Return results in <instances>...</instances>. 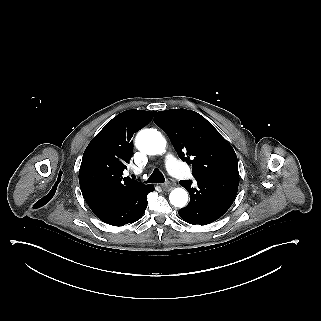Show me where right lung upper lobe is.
<instances>
[{
  "label": "right lung upper lobe",
  "instance_id": "1",
  "mask_svg": "<svg viewBox=\"0 0 321 321\" xmlns=\"http://www.w3.org/2000/svg\"><path fill=\"white\" fill-rule=\"evenodd\" d=\"M156 112L126 110L110 120L87 146L79 170L82 195L91 209L120 200L145 186L123 177L132 157L131 138Z\"/></svg>",
  "mask_w": 321,
  "mask_h": 321
}]
</instances>
